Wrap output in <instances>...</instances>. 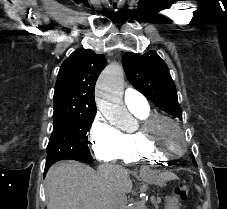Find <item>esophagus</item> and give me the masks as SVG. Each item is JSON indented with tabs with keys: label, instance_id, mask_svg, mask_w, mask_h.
Here are the masks:
<instances>
[{
	"label": "esophagus",
	"instance_id": "34e87169",
	"mask_svg": "<svg viewBox=\"0 0 227 209\" xmlns=\"http://www.w3.org/2000/svg\"><path fill=\"white\" fill-rule=\"evenodd\" d=\"M137 176L138 177H148L149 176L148 170L147 169H142L141 172L137 173Z\"/></svg>",
	"mask_w": 227,
	"mask_h": 209
}]
</instances>
